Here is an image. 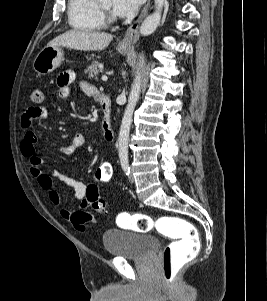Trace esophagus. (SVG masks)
I'll return each mask as SVG.
<instances>
[{"label": "esophagus", "mask_w": 267, "mask_h": 301, "mask_svg": "<svg viewBox=\"0 0 267 301\" xmlns=\"http://www.w3.org/2000/svg\"><path fill=\"white\" fill-rule=\"evenodd\" d=\"M149 6L150 0H148L139 18L128 28L124 38L119 43L121 47H130L135 42H137V40L139 39V25L147 15Z\"/></svg>", "instance_id": "obj_1"}]
</instances>
